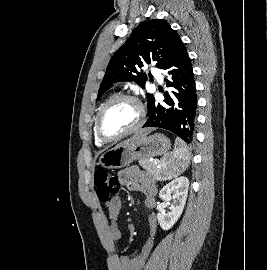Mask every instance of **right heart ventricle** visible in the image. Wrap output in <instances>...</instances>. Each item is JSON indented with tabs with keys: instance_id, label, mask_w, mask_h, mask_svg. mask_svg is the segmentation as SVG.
Segmentation results:
<instances>
[{
	"instance_id": "right-heart-ventricle-1",
	"label": "right heart ventricle",
	"mask_w": 267,
	"mask_h": 270,
	"mask_svg": "<svg viewBox=\"0 0 267 270\" xmlns=\"http://www.w3.org/2000/svg\"><path fill=\"white\" fill-rule=\"evenodd\" d=\"M109 99H111V98H109ZM109 99H107V100H105L103 103H101V105H100L99 108H98V111H99V109H100V108H101V107H102ZM93 134H94V138H95L96 144H97L98 146L103 145L104 143H103L102 141H100L99 138H98L97 135H96V132H95V121H94V125H93Z\"/></svg>"
}]
</instances>
